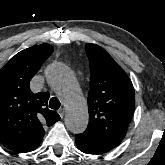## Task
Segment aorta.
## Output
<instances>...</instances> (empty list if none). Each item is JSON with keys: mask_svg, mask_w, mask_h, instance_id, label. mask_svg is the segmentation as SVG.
I'll return each instance as SVG.
<instances>
[{"mask_svg": "<svg viewBox=\"0 0 165 165\" xmlns=\"http://www.w3.org/2000/svg\"><path fill=\"white\" fill-rule=\"evenodd\" d=\"M47 81L58 91L66 108L65 123L72 133H82L88 125V108L85 98L67 68L51 65L46 72Z\"/></svg>", "mask_w": 165, "mask_h": 165, "instance_id": "aorta-1", "label": "aorta"}]
</instances>
